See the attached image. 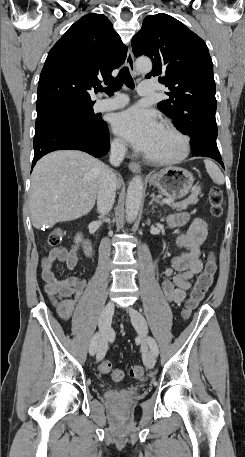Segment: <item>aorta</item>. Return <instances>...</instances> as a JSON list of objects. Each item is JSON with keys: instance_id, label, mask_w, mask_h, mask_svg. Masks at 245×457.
<instances>
[{"instance_id": "aorta-1", "label": "aorta", "mask_w": 245, "mask_h": 457, "mask_svg": "<svg viewBox=\"0 0 245 457\" xmlns=\"http://www.w3.org/2000/svg\"><path fill=\"white\" fill-rule=\"evenodd\" d=\"M136 69L139 72L149 73L152 69V62L149 58H139L136 60ZM143 198V181L140 176L134 177L127 189L126 195V218L132 222L138 215Z\"/></svg>"}]
</instances>
